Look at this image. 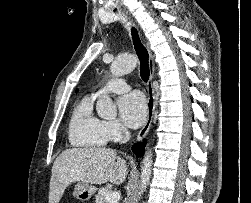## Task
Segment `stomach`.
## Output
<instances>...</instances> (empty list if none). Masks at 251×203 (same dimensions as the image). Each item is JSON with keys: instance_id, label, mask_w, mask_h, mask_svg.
<instances>
[{"instance_id": "1", "label": "stomach", "mask_w": 251, "mask_h": 203, "mask_svg": "<svg viewBox=\"0 0 251 203\" xmlns=\"http://www.w3.org/2000/svg\"><path fill=\"white\" fill-rule=\"evenodd\" d=\"M95 192L96 188L93 185L85 182H78L74 189L75 197L81 201L89 200Z\"/></svg>"}]
</instances>
